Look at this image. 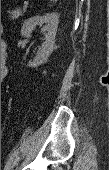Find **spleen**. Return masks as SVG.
<instances>
[{"label":"spleen","instance_id":"3e777b00","mask_svg":"<svg viewBox=\"0 0 109 170\" xmlns=\"http://www.w3.org/2000/svg\"><path fill=\"white\" fill-rule=\"evenodd\" d=\"M50 1L56 2L57 0H50Z\"/></svg>","mask_w":109,"mask_h":170}]
</instances>
